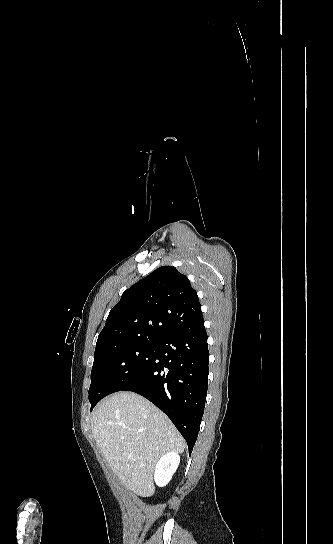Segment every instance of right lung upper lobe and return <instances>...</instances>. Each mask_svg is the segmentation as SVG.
Here are the masks:
<instances>
[{
    "mask_svg": "<svg viewBox=\"0 0 333 544\" xmlns=\"http://www.w3.org/2000/svg\"><path fill=\"white\" fill-rule=\"evenodd\" d=\"M200 317L201 305L188 278L175 267H159L122 294L98 336L95 354L135 341H158Z\"/></svg>",
    "mask_w": 333,
    "mask_h": 544,
    "instance_id": "1",
    "label": "right lung upper lobe"
}]
</instances>
